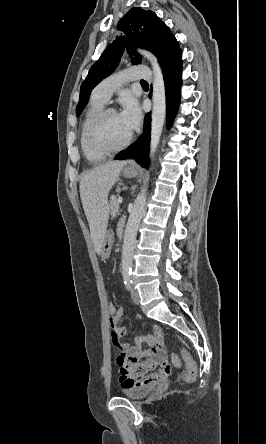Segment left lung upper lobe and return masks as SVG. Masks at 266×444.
Instances as JSON below:
<instances>
[{"mask_svg":"<svg viewBox=\"0 0 266 444\" xmlns=\"http://www.w3.org/2000/svg\"><path fill=\"white\" fill-rule=\"evenodd\" d=\"M117 29L125 36H120L109 44L90 68L80 88V99L76 108L77 116L85 108L92 89L116 69L125 48L130 54L136 55L131 58L132 64L142 62L141 56L134 51L136 47H140L153 52L161 67L182 53L171 30L153 11L132 8L119 21Z\"/></svg>","mask_w":266,"mask_h":444,"instance_id":"left-lung-upper-lobe-1","label":"left lung upper lobe"}]
</instances>
